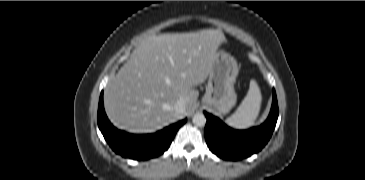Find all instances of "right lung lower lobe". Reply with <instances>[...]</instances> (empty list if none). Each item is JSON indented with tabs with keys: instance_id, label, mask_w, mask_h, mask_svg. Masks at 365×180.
Here are the masks:
<instances>
[{
	"instance_id": "obj_1",
	"label": "right lung lower lobe",
	"mask_w": 365,
	"mask_h": 180,
	"mask_svg": "<svg viewBox=\"0 0 365 180\" xmlns=\"http://www.w3.org/2000/svg\"><path fill=\"white\" fill-rule=\"evenodd\" d=\"M187 119L170 125L161 131L147 135H134L116 129L108 120L103 105V92L98 105V126L110 147L117 154L134 160H147L166 151L178 129Z\"/></svg>"
}]
</instances>
